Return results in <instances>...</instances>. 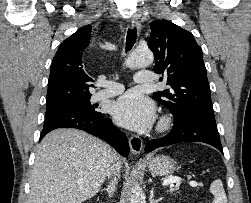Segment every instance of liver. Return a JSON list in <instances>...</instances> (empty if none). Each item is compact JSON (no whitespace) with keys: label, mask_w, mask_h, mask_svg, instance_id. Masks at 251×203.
Returning a JSON list of instances; mask_svg holds the SVG:
<instances>
[{"label":"liver","mask_w":251,"mask_h":203,"mask_svg":"<svg viewBox=\"0 0 251 203\" xmlns=\"http://www.w3.org/2000/svg\"><path fill=\"white\" fill-rule=\"evenodd\" d=\"M29 203H83L100 190L117 155L103 141L75 129H57L36 148Z\"/></svg>","instance_id":"1"}]
</instances>
